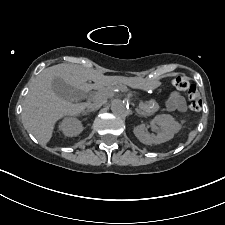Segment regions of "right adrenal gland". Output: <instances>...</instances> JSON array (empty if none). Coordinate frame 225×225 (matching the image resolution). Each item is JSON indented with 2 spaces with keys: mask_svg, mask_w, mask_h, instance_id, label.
Returning a JSON list of instances; mask_svg holds the SVG:
<instances>
[{
  "mask_svg": "<svg viewBox=\"0 0 225 225\" xmlns=\"http://www.w3.org/2000/svg\"><path fill=\"white\" fill-rule=\"evenodd\" d=\"M94 111H95V109H88V110L84 111L83 114H87V113L94 112Z\"/></svg>",
  "mask_w": 225,
  "mask_h": 225,
  "instance_id": "obj_1",
  "label": "right adrenal gland"
}]
</instances>
